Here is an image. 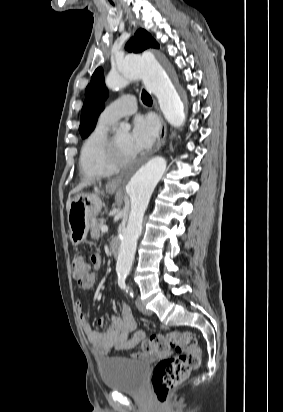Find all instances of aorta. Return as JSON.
I'll use <instances>...</instances> for the list:
<instances>
[{
    "mask_svg": "<svg viewBox=\"0 0 283 412\" xmlns=\"http://www.w3.org/2000/svg\"><path fill=\"white\" fill-rule=\"evenodd\" d=\"M134 80H142L147 90L157 97L160 110L171 125L179 127L183 124V102L164 65L152 52L127 56L117 66V70L107 76L105 83L110 89H119ZM121 128L126 129L128 125L122 124ZM166 165L165 158L157 156L125 178L124 189L130 198V213L120 235L121 245L116 264L118 276H127L131 270L137 240L142 232L143 217Z\"/></svg>",
    "mask_w": 283,
    "mask_h": 412,
    "instance_id": "762f6f07",
    "label": "aorta"
}]
</instances>
